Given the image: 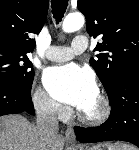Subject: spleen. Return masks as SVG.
Here are the masks:
<instances>
[{
	"label": "spleen",
	"instance_id": "obj_1",
	"mask_svg": "<svg viewBox=\"0 0 139 150\" xmlns=\"http://www.w3.org/2000/svg\"><path fill=\"white\" fill-rule=\"evenodd\" d=\"M115 149L116 150H134V148H132L128 145H122V144H116Z\"/></svg>",
	"mask_w": 139,
	"mask_h": 150
}]
</instances>
